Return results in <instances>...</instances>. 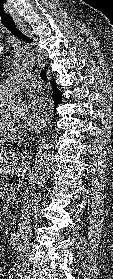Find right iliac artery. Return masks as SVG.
<instances>
[{"label": "right iliac artery", "mask_w": 113, "mask_h": 279, "mask_svg": "<svg viewBox=\"0 0 113 279\" xmlns=\"http://www.w3.org/2000/svg\"><path fill=\"white\" fill-rule=\"evenodd\" d=\"M17 275V271L15 269H13L11 271V273L9 274V279H14Z\"/></svg>", "instance_id": "82829eb1"}]
</instances>
